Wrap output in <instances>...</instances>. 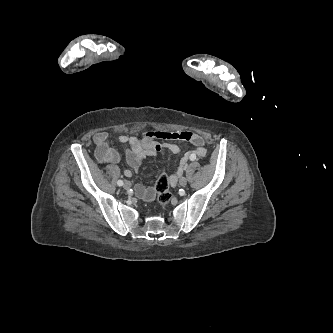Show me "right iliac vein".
Returning <instances> with one entry per match:
<instances>
[{
	"label": "right iliac vein",
	"mask_w": 333,
	"mask_h": 333,
	"mask_svg": "<svg viewBox=\"0 0 333 333\" xmlns=\"http://www.w3.org/2000/svg\"><path fill=\"white\" fill-rule=\"evenodd\" d=\"M124 189L128 190L131 187V183L129 181H126L123 185Z\"/></svg>",
	"instance_id": "obj_1"
}]
</instances>
